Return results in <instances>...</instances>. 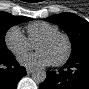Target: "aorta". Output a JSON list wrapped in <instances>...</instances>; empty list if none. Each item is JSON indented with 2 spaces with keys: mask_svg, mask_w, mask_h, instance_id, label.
<instances>
[{
  "mask_svg": "<svg viewBox=\"0 0 89 89\" xmlns=\"http://www.w3.org/2000/svg\"><path fill=\"white\" fill-rule=\"evenodd\" d=\"M31 78L36 83H42L46 79V71L42 68H35L32 72Z\"/></svg>",
  "mask_w": 89,
  "mask_h": 89,
  "instance_id": "obj_1",
  "label": "aorta"
}]
</instances>
